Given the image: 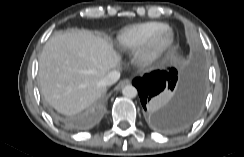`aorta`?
Segmentation results:
<instances>
[{
    "instance_id": "762f6f07",
    "label": "aorta",
    "mask_w": 244,
    "mask_h": 157,
    "mask_svg": "<svg viewBox=\"0 0 244 157\" xmlns=\"http://www.w3.org/2000/svg\"><path fill=\"white\" fill-rule=\"evenodd\" d=\"M122 94L127 98H134L137 95V89L133 85H126L122 89Z\"/></svg>"
}]
</instances>
